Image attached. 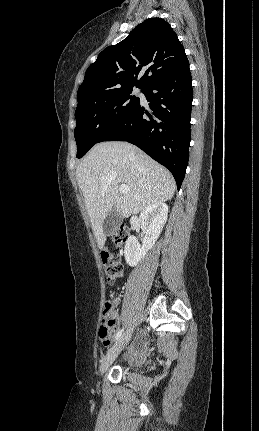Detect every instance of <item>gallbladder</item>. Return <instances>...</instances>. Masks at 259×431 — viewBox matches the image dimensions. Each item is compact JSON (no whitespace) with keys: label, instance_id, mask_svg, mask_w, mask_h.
Returning <instances> with one entry per match:
<instances>
[{"label":"gallbladder","instance_id":"bac80fb5","mask_svg":"<svg viewBox=\"0 0 259 431\" xmlns=\"http://www.w3.org/2000/svg\"><path fill=\"white\" fill-rule=\"evenodd\" d=\"M122 222V216L117 211L116 208H113L107 215V217L104 219L102 228L106 235H112L120 223Z\"/></svg>","mask_w":259,"mask_h":431}]
</instances>
